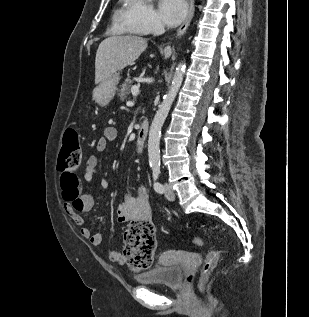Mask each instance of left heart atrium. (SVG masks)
Listing matches in <instances>:
<instances>
[{"label":"left heart atrium","mask_w":309,"mask_h":317,"mask_svg":"<svg viewBox=\"0 0 309 317\" xmlns=\"http://www.w3.org/2000/svg\"><path fill=\"white\" fill-rule=\"evenodd\" d=\"M186 0H160L159 14L168 26L178 25L187 14Z\"/></svg>","instance_id":"left-heart-atrium-1"}]
</instances>
